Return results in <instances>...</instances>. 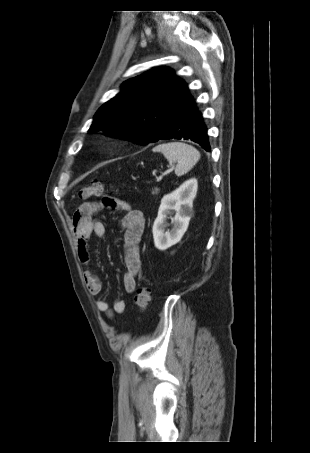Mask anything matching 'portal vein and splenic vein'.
I'll return each instance as SVG.
<instances>
[{"label": "portal vein and splenic vein", "mask_w": 310, "mask_h": 453, "mask_svg": "<svg viewBox=\"0 0 310 453\" xmlns=\"http://www.w3.org/2000/svg\"><path fill=\"white\" fill-rule=\"evenodd\" d=\"M172 168H173V165H171V168H170V169H168V170H166L165 172H163V173L157 178V180L160 181V180L163 178L164 175H166V174H168V173L171 172Z\"/></svg>", "instance_id": "portal-vein-and-splenic-vein-1"}]
</instances>
